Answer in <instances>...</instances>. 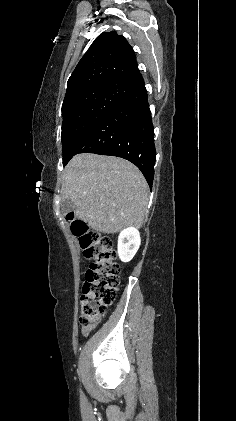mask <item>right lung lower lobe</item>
Here are the masks:
<instances>
[{"mask_svg": "<svg viewBox=\"0 0 236 421\" xmlns=\"http://www.w3.org/2000/svg\"><path fill=\"white\" fill-rule=\"evenodd\" d=\"M120 86L126 97L80 139L73 156L90 152L124 158L141 170L152 187L156 150L143 77L137 72Z\"/></svg>", "mask_w": 236, "mask_h": 421, "instance_id": "98d812e1", "label": "right lung lower lobe"}]
</instances>
